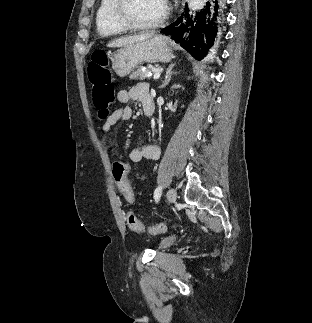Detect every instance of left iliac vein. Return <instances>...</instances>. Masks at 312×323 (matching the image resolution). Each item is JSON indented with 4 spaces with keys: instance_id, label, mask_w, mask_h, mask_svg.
<instances>
[{
    "instance_id": "left-iliac-vein-1",
    "label": "left iliac vein",
    "mask_w": 312,
    "mask_h": 323,
    "mask_svg": "<svg viewBox=\"0 0 312 323\" xmlns=\"http://www.w3.org/2000/svg\"><path fill=\"white\" fill-rule=\"evenodd\" d=\"M166 197H167L168 203L173 204L176 201V197H177L176 190L173 188L169 189Z\"/></svg>"
}]
</instances>
